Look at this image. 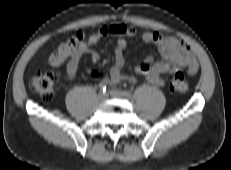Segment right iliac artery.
Masks as SVG:
<instances>
[{"instance_id":"obj_1","label":"right iliac artery","mask_w":231,"mask_h":170,"mask_svg":"<svg viewBox=\"0 0 231 170\" xmlns=\"http://www.w3.org/2000/svg\"><path fill=\"white\" fill-rule=\"evenodd\" d=\"M99 87H100V89H101V91H102L103 93H105V92H106V90H107V86H106V84H105V83L100 82Z\"/></svg>"}]
</instances>
